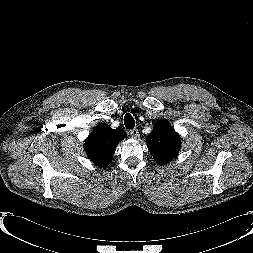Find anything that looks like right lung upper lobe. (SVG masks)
<instances>
[{"mask_svg":"<svg viewBox=\"0 0 253 253\" xmlns=\"http://www.w3.org/2000/svg\"><path fill=\"white\" fill-rule=\"evenodd\" d=\"M125 137L124 130H114L107 124H100L85 141L86 153L92 162L104 167L112 161L117 144Z\"/></svg>","mask_w":253,"mask_h":253,"instance_id":"right-lung-upper-lobe-1","label":"right lung upper lobe"}]
</instances>
